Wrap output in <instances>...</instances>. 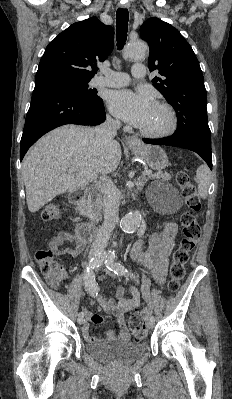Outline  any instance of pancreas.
Masks as SVG:
<instances>
[{"mask_svg": "<svg viewBox=\"0 0 232 399\" xmlns=\"http://www.w3.org/2000/svg\"><path fill=\"white\" fill-rule=\"evenodd\" d=\"M150 176L151 180H171L170 174L167 172H154V174H147ZM101 194H89L87 200H85V205L81 207L80 211L82 215H86L90 221H99L101 219Z\"/></svg>", "mask_w": 232, "mask_h": 399, "instance_id": "1", "label": "pancreas"}]
</instances>
